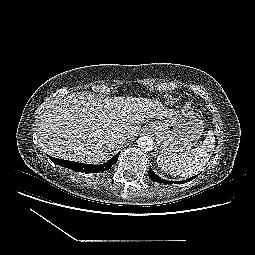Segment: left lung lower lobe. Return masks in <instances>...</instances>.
Returning a JSON list of instances; mask_svg holds the SVG:
<instances>
[{"label":"left lung lower lobe","instance_id":"0a47b994","mask_svg":"<svg viewBox=\"0 0 255 255\" xmlns=\"http://www.w3.org/2000/svg\"><path fill=\"white\" fill-rule=\"evenodd\" d=\"M148 176L150 177V179L154 182H157V183H173L172 181H167V180H163L161 179L159 176H157L152 170L151 168H149V172H148ZM195 177H191L185 181H180V182H176V183H186V182H189L191 180H193Z\"/></svg>","mask_w":255,"mask_h":255}]
</instances>
